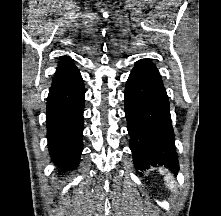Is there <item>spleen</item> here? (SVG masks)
I'll list each match as a JSON object with an SVG mask.
<instances>
[{
	"instance_id": "3e777b00",
	"label": "spleen",
	"mask_w": 221,
	"mask_h": 216,
	"mask_svg": "<svg viewBox=\"0 0 221 216\" xmlns=\"http://www.w3.org/2000/svg\"><path fill=\"white\" fill-rule=\"evenodd\" d=\"M160 172H161V174L165 173L163 170H161ZM172 178L173 177L171 175H167L165 177L166 185L170 190L174 189V181H172Z\"/></svg>"
}]
</instances>
